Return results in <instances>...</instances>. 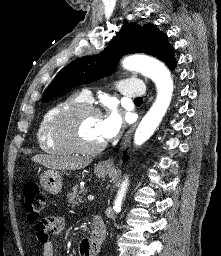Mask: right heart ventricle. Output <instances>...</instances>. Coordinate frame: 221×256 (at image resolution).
<instances>
[{"label": "right heart ventricle", "mask_w": 221, "mask_h": 256, "mask_svg": "<svg viewBox=\"0 0 221 256\" xmlns=\"http://www.w3.org/2000/svg\"><path fill=\"white\" fill-rule=\"evenodd\" d=\"M86 102L87 101L82 94L75 93L65 97L49 107L41 118L36 133L37 143L43 151L52 154H66L71 152L65 144L57 140L55 137V124L58 117L64 111L75 105Z\"/></svg>", "instance_id": "e07e8e85"}]
</instances>
